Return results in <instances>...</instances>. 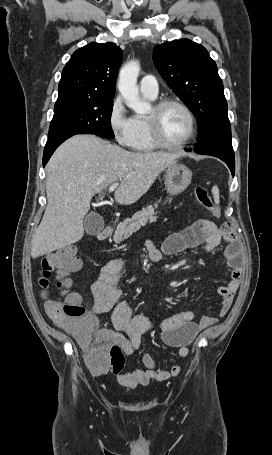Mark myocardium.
Returning <instances> with one entry per match:
<instances>
[{
    "label": "myocardium",
    "instance_id": "1",
    "mask_svg": "<svg viewBox=\"0 0 272 455\" xmlns=\"http://www.w3.org/2000/svg\"><path fill=\"white\" fill-rule=\"evenodd\" d=\"M177 106L183 110L189 121V131L187 136L179 143H167L161 136L159 128L160 113L168 106ZM149 133L152 142L158 147L166 150H179L187 146L196 134V119L192 110L182 101L175 98H163L157 101L153 108L152 113L146 117Z\"/></svg>",
    "mask_w": 272,
    "mask_h": 455
}]
</instances>
